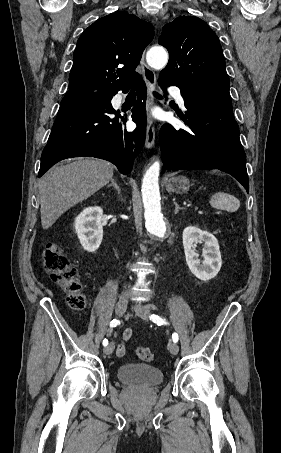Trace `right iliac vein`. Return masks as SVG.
<instances>
[{
	"label": "right iliac vein",
	"instance_id": "obj_1",
	"mask_svg": "<svg viewBox=\"0 0 281 453\" xmlns=\"http://www.w3.org/2000/svg\"><path fill=\"white\" fill-rule=\"evenodd\" d=\"M126 304H127V301H118L116 304H115V315L117 317H120L122 315V312H125L126 311ZM115 348V345L111 342L108 346H105L103 352L105 353V355H110V353L113 352Z\"/></svg>",
	"mask_w": 281,
	"mask_h": 453
}]
</instances>
